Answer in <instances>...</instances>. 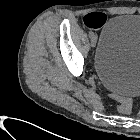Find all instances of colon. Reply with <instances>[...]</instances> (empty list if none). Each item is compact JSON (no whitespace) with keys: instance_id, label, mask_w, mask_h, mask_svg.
Returning <instances> with one entry per match:
<instances>
[{"instance_id":"colon-1","label":"colon","mask_w":140,"mask_h":140,"mask_svg":"<svg viewBox=\"0 0 140 140\" xmlns=\"http://www.w3.org/2000/svg\"><path fill=\"white\" fill-rule=\"evenodd\" d=\"M110 97L117 103V109L123 114H129L132 112V101L129 98L122 97L116 94H110Z\"/></svg>"}]
</instances>
